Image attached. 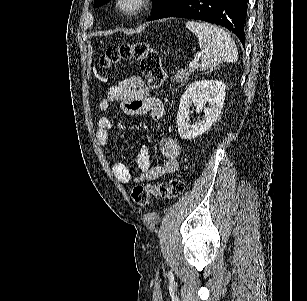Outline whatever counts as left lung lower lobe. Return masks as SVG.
Wrapping results in <instances>:
<instances>
[{
	"label": "left lung lower lobe",
	"mask_w": 307,
	"mask_h": 301,
	"mask_svg": "<svg viewBox=\"0 0 307 301\" xmlns=\"http://www.w3.org/2000/svg\"><path fill=\"white\" fill-rule=\"evenodd\" d=\"M248 0H177L157 19L181 17L215 23L232 31L244 45Z\"/></svg>",
	"instance_id": "obj_1"
}]
</instances>
